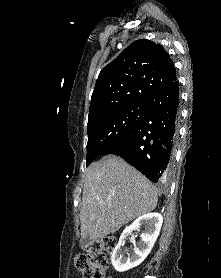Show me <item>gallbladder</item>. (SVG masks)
Segmentation results:
<instances>
[{
    "label": "gallbladder",
    "mask_w": 221,
    "mask_h": 278,
    "mask_svg": "<svg viewBox=\"0 0 221 278\" xmlns=\"http://www.w3.org/2000/svg\"><path fill=\"white\" fill-rule=\"evenodd\" d=\"M91 242H92V240H91L89 237L82 238V239H81V247H82V248H85V247H87L88 245H90Z\"/></svg>",
    "instance_id": "1"
}]
</instances>
